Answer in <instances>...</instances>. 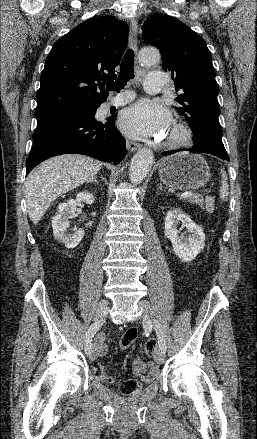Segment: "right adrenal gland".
I'll use <instances>...</instances> for the list:
<instances>
[{"label":"right adrenal gland","mask_w":257,"mask_h":439,"mask_svg":"<svg viewBox=\"0 0 257 439\" xmlns=\"http://www.w3.org/2000/svg\"><path fill=\"white\" fill-rule=\"evenodd\" d=\"M102 179H104L103 177H101ZM89 183H95L96 185H99L98 181L96 178H94L93 180H91Z\"/></svg>","instance_id":"obj_1"}]
</instances>
